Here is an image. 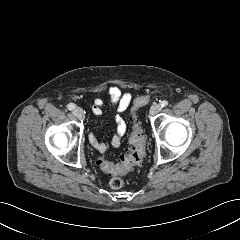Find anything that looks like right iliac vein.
I'll list each match as a JSON object with an SVG mask.
<instances>
[{"mask_svg":"<svg viewBox=\"0 0 240 240\" xmlns=\"http://www.w3.org/2000/svg\"><path fill=\"white\" fill-rule=\"evenodd\" d=\"M73 113L79 120H83L85 118L84 111L80 107H75Z\"/></svg>","mask_w":240,"mask_h":240,"instance_id":"1","label":"right iliac vein"}]
</instances>
